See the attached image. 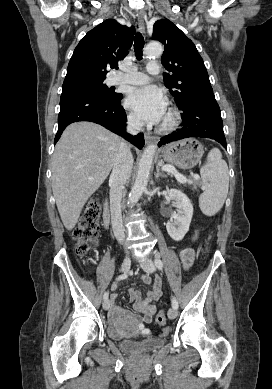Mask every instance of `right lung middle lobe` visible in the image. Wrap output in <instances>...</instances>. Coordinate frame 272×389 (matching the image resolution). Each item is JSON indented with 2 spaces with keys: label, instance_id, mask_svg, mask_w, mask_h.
Segmentation results:
<instances>
[{
  "label": "right lung middle lobe",
  "instance_id": "obj_1",
  "mask_svg": "<svg viewBox=\"0 0 272 389\" xmlns=\"http://www.w3.org/2000/svg\"><path fill=\"white\" fill-rule=\"evenodd\" d=\"M104 80L84 81L79 83H73L62 86V93L65 92H86L95 94L99 97L117 100L122 97V94L114 92L111 88H108L104 83Z\"/></svg>",
  "mask_w": 272,
  "mask_h": 389
}]
</instances>
